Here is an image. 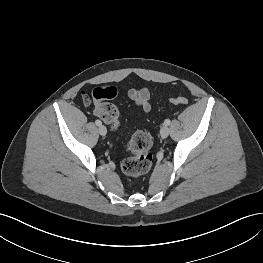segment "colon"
Wrapping results in <instances>:
<instances>
[{
  "mask_svg": "<svg viewBox=\"0 0 263 263\" xmlns=\"http://www.w3.org/2000/svg\"><path fill=\"white\" fill-rule=\"evenodd\" d=\"M116 94V89L111 86H99L92 92V99L97 104L95 114L114 130L121 126L119 111L110 103ZM171 101L175 105H186L188 102L185 97L180 96L172 98ZM152 145L153 139L149 132L145 130L134 131L127 143V150L131 156L122 161V171L131 177H139L148 172L153 162Z\"/></svg>",
  "mask_w": 263,
  "mask_h": 263,
  "instance_id": "1",
  "label": "colon"
}]
</instances>
